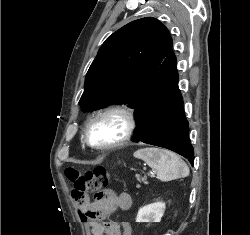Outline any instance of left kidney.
<instances>
[{
    "mask_svg": "<svg viewBox=\"0 0 250 235\" xmlns=\"http://www.w3.org/2000/svg\"><path fill=\"white\" fill-rule=\"evenodd\" d=\"M166 206L163 202L149 204L139 209L136 222H160Z\"/></svg>",
    "mask_w": 250,
    "mask_h": 235,
    "instance_id": "obj_1",
    "label": "left kidney"
}]
</instances>
